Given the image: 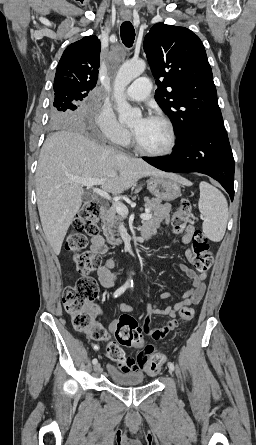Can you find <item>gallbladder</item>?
Returning <instances> with one entry per match:
<instances>
[{"mask_svg":"<svg viewBox=\"0 0 256 445\" xmlns=\"http://www.w3.org/2000/svg\"><path fill=\"white\" fill-rule=\"evenodd\" d=\"M83 200H84V201H88V200H89V197H88L87 195H83Z\"/></svg>","mask_w":256,"mask_h":445,"instance_id":"1","label":"gallbladder"}]
</instances>
